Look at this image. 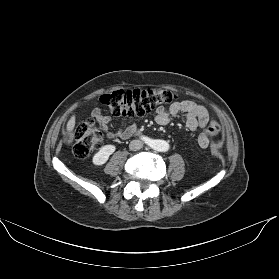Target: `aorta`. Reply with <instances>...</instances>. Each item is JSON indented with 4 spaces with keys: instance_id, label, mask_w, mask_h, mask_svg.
I'll list each match as a JSON object with an SVG mask.
<instances>
[{
    "instance_id": "obj_1",
    "label": "aorta",
    "mask_w": 279,
    "mask_h": 279,
    "mask_svg": "<svg viewBox=\"0 0 279 279\" xmlns=\"http://www.w3.org/2000/svg\"><path fill=\"white\" fill-rule=\"evenodd\" d=\"M152 147L160 152H166L169 150V143L165 140H154L152 142Z\"/></svg>"
}]
</instances>
